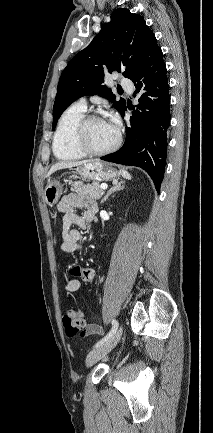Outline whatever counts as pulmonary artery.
Listing matches in <instances>:
<instances>
[{
  "label": "pulmonary artery",
  "mask_w": 213,
  "mask_h": 433,
  "mask_svg": "<svg viewBox=\"0 0 213 433\" xmlns=\"http://www.w3.org/2000/svg\"><path fill=\"white\" fill-rule=\"evenodd\" d=\"M121 85L129 92H132L133 89V83L131 82V80L127 79V78H121L120 80ZM76 105L86 109L87 108V102L85 98H80L77 102Z\"/></svg>",
  "instance_id": "pulmonary-artery-1"
}]
</instances>
